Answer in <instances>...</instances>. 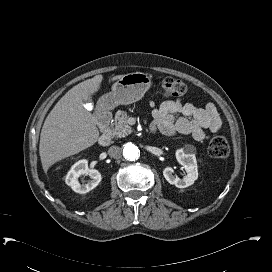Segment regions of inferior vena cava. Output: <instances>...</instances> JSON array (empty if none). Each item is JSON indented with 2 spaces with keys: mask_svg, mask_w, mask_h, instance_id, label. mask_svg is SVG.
Here are the masks:
<instances>
[{
  "mask_svg": "<svg viewBox=\"0 0 272 272\" xmlns=\"http://www.w3.org/2000/svg\"><path fill=\"white\" fill-rule=\"evenodd\" d=\"M108 154L112 158H120L121 156V148L118 146H111L108 150Z\"/></svg>",
  "mask_w": 272,
  "mask_h": 272,
  "instance_id": "inferior-vena-cava-1",
  "label": "inferior vena cava"
}]
</instances>
